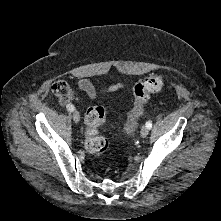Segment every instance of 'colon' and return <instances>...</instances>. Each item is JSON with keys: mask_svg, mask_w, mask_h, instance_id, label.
Listing matches in <instances>:
<instances>
[{"mask_svg": "<svg viewBox=\"0 0 221 221\" xmlns=\"http://www.w3.org/2000/svg\"><path fill=\"white\" fill-rule=\"evenodd\" d=\"M163 87V78L160 75H152L137 82L133 87L135 100L134 107L129 112V117L125 123L124 130L127 135H133L137 127V119L147 102L151 93L158 92ZM54 94L61 100L67 101L72 97V92L64 82H57L53 85ZM106 120V112L101 106L88 108L85 115L86 140L85 146L88 152L94 155L103 154L108 143L105 138L99 135V129Z\"/></svg>", "mask_w": 221, "mask_h": 221, "instance_id": "obj_1", "label": "colon"}]
</instances>
